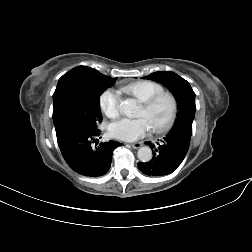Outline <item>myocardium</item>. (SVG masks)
<instances>
[{"mask_svg": "<svg viewBox=\"0 0 252 252\" xmlns=\"http://www.w3.org/2000/svg\"><path fill=\"white\" fill-rule=\"evenodd\" d=\"M163 97H167L169 98L170 102H171V110H170V114L167 118V120L165 121V123L163 125H161L160 127L157 128H151V132L155 133V134H163L168 132L172 126L174 125V122L176 120L177 117V112H178V100L176 98V96L168 91H163L160 93L155 94L154 96H152L151 98H149L148 100L142 102V106L149 110L151 109L160 99H162Z\"/></svg>", "mask_w": 252, "mask_h": 252, "instance_id": "f54148a6", "label": "myocardium"}]
</instances>
